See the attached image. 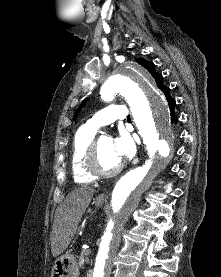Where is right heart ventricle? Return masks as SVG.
I'll return each instance as SVG.
<instances>
[{
  "label": "right heart ventricle",
  "mask_w": 221,
  "mask_h": 277,
  "mask_svg": "<svg viewBox=\"0 0 221 277\" xmlns=\"http://www.w3.org/2000/svg\"><path fill=\"white\" fill-rule=\"evenodd\" d=\"M95 134L96 130L83 126L74 136L71 151V169L76 183L88 184L94 180L85 169V158Z\"/></svg>",
  "instance_id": "obj_1"
}]
</instances>
